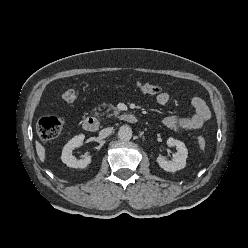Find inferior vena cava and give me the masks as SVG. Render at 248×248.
Returning <instances> with one entry per match:
<instances>
[{
    "instance_id": "1",
    "label": "inferior vena cava",
    "mask_w": 248,
    "mask_h": 248,
    "mask_svg": "<svg viewBox=\"0 0 248 248\" xmlns=\"http://www.w3.org/2000/svg\"><path fill=\"white\" fill-rule=\"evenodd\" d=\"M113 128L112 127H108V128H104L99 132V137L100 138H106L108 137L111 133H112Z\"/></svg>"
}]
</instances>
